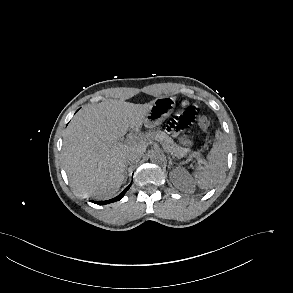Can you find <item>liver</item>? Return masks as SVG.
<instances>
[{"label": "liver", "mask_w": 293, "mask_h": 293, "mask_svg": "<svg viewBox=\"0 0 293 293\" xmlns=\"http://www.w3.org/2000/svg\"><path fill=\"white\" fill-rule=\"evenodd\" d=\"M154 101L134 104L108 99L81 109L69 123L62 158L72 188L85 197L109 198L124 182L127 152L143 153L148 142L121 143L128 129L139 132Z\"/></svg>", "instance_id": "6515ba94"}]
</instances>
